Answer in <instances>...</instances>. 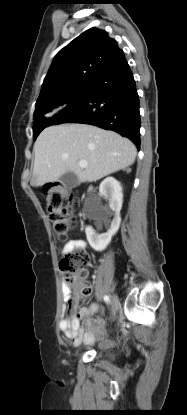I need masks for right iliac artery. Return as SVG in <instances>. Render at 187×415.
I'll list each match as a JSON object with an SVG mask.
<instances>
[{"mask_svg": "<svg viewBox=\"0 0 187 415\" xmlns=\"http://www.w3.org/2000/svg\"><path fill=\"white\" fill-rule=\"evenodd\" d=\"M104 301L108 304L110 302L109 296L105 295L104 296Z\"/></svg>", "mask_w": 187, "mask_h": 415, "instance_id": "1", "label": "right iliac artery"}]
</instances>
